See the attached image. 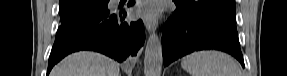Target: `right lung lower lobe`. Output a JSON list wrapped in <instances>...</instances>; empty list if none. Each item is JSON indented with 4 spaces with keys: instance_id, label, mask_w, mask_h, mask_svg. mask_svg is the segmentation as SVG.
Wrapping results in <instances>:
<instances>
[{
    "instance_id": "right-lung-lower-lobe-1",
    "label": "right lung lower lobe",
    "mask_w": 287,
    "mask_h": 76,
    "mask_svg": "<svg viewBox=\"0 0 287 76\" xmlns=\"http://www.w3.org/2000/svg\"><path fill=\"white\" fill-rule=\"evenodd\" d=\"M107 3L97 12L75 18L58 28L47 74L66 55L80 50L103 53L118 62L137 54L145 39L142 20L130 22L126 13H113ZM131 0L128 6L133 5Z\"/></svg>"
}]
</instances>
